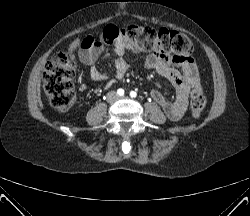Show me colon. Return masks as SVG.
I'll return each mask as SVG.
<instances>
[{
	"label": "colon",
	"mask_w": 250,
	"mask_h": 216,
	"mask_svg": "<svg viewBox=\"0 0 250 216\" xmlns=\"http://www.w3.org/2000/svg\"><path fill=\"white\" fill-rule=\"evenodd\" d=\"M124 40L139 49L161 54L172 53L174 56L189 57L193 46L190 39L177 31L130 25L125 28L106 27L97 38H85L75 42L71 48L54 55L47 63L43 73V88L51 105L60 110L70 109L76 102L73 89V77L77 59L75 48L90 44L104 45ZM206 106V98L202 91L191 93L190 110L194 118H199Z\"/></svg>",
	"instance_id": "colon-1"
}]
</instances>
